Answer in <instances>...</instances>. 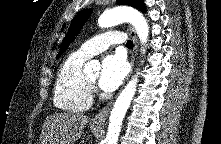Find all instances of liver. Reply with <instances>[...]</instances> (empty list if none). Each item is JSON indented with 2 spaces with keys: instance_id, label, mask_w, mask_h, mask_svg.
<instances>
[{
  "instance_id": "liver-1",
  "label": "liver",
  "mask_w": 221,
  "mask_h": 144,
  "mask_svg": "<svg viewBox=\"0 0 221 144\" xmlns=\"http://www.w3.org/2000/svg\"><path fill=\"white\" fill-rule=\"evenodd\" d=\"M89 122L86 115L77 112L56 113L46 117L41 135V144H74Z\"/></svg>"
}]
</instances>
